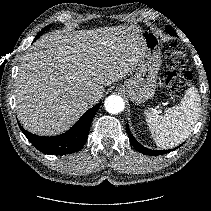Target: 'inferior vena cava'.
<instances>
[{
    "label": "inferior vena cava",
    "instance_id": "inferior-vena-cava-1",
    "mask_svg": "<svg viewBox=\"0 0 211 211\" xmlns=\"http://www.w3.org/2000/svg\"><path fill=\"white\" fill-rule=\"evenodd\" d=\"M98 100H99L98 97L95 94H92V93L87 94L85 96V101L90 105L95 104Z\"/></svg>",
    "mask_w": 211,
    "mask_h": 211
}]
</instances>
